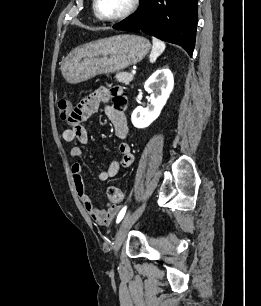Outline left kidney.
<instances>
[{"instance_id": "1", "label": "left kidney", "mask_w": 261, "mask_h": 306, "mask_svg": "<svg viewBox=\"0 0 261 306\" xmlns=\"http://www.w3.org/2000/svg\"><path fill=\"white\" fill-rule=\"evenodd\" d=\"M174 87V77L169 69H160L145 82L144 88L150 94L148 107H137L131 121L136 128H146L160 115Z\"/></svg>"}]
</instances>
